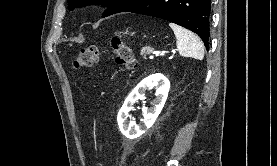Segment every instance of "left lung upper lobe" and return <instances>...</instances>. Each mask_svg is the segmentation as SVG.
<instances>
[{"label":"left lung upper lobe","mask_w":277,"mask_h":166,"mask_svg":"<svg viewBox=\"0 0 277 166\" xmlns=\"http://www.w3.org/2000/svg\"><path fill=\"white\" fill-rule=\"evenodd\" d=\"M139 0H68L69 3V9L73 10L75 7H82L86 6L88 4H103L105 6H108V8L103 13L102 17H106L115 13L122 12L135 3H137Z\"/></svg>","instance_id":"left-lung-upper-lobe-1"}]
</instances>
